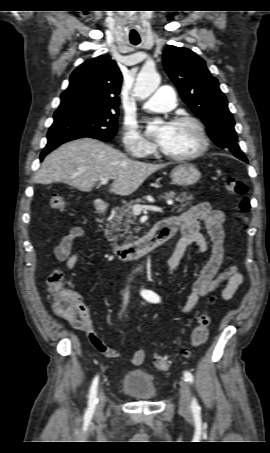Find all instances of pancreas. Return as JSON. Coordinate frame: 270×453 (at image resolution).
Wrapping results in <instances>:
<instances>
[{"instance_id": "obj_1", "label": "pancreas", "mask_w": 270, "mask_h": 453, "mask_svg": "<svg viewBox=\"0 0 270 453\" xmlns=\"http://www.w3.org/2000/svg\"><path fill=\"white\" fill-rule=\"evenodd\" d=\"M162 198L166 200H176L181 203V205L176 206L179 211L183 210L187 205L191 204L193 197L188 195L186 192H183L179 195H176L174 192L165 193ZM141 199H136L131 201L129 204H126L122 207H117L112 214V220L110 221V230H105V236L111 242H116L118 238H126V240L132 239L133 232L130 231L131 225L134 224L132 220L133 213L131 209L133 208L134 203H142ZM113 233H117L113 235Z\"/></svg>"}]
</instances>
